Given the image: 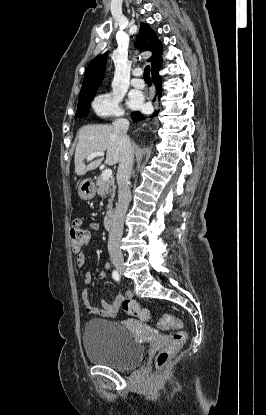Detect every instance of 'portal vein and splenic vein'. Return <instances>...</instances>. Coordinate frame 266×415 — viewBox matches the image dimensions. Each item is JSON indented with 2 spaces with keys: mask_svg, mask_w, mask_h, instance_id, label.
Listing matches in <instances>:
<instances>
[{
  "mask_svg": "<svg viewBox=\"0 0 266 415\" xmlns=\"http://www.w3.org/2000/svg\"><path fill=\"white\" fill-rule=\"evenodd\" d=\"M97 156H104V151H96L94 153H91L90 155L87 156V160L91 161L93 158H95ZM101 176H102L103 180H108L112 176V170L109 169V168L105 169L102 172Z\"/></svg>",
  "mask_w": 266,
  "mask_h": 415,
  "instance_id": "1",
  "label": "portal vein and splenic vein"
}]
</instances>
